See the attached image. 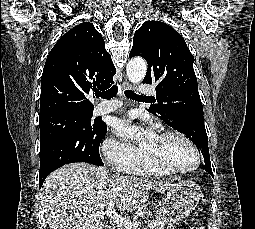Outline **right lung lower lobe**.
<instances>
[{
    "instance_id": "1",
    "label": "right lung lower lobe",
    "mask_w": 255,
    "mask_h": 229,
    "mask_svg": "<svg viewBox=\"0 0 255 229\" xmlns=\"http://www.w3.org/2000/svg\"><path fill=\"white\" fill-rule=\"evenodd\" d=\"M98 165H104V164H103V162H102L101 164H98ZM49 174H50V173H43V174L41 173V174H39V187L42 186V184H43L45 178H46Z\"/></svg>"
}]
</instances>
